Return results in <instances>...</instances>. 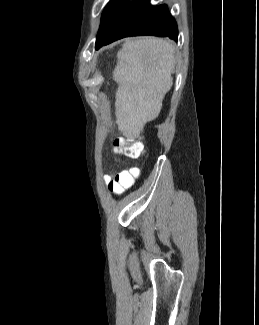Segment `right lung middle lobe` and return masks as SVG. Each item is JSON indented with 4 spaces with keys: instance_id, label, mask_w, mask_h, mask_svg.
I'll use <instances>...</instances> for the list:
<instances>
[{
    "instance_id": "1",
    "label": "right lung middle lobe",
    "mask_w": 259,
    "mask_h": 325,
    "mask_svg": "<svg viewBox=\"0 0 259 325\" xmlns=\"http://www.w3.org/2000/svg\"><path fill=\"white\" fill-rule=\"evenodd\" d=\"M133 2L129 0H111L103 11L96 45L102 43L113 32Z\"/></svg>"
}]
</instances>
